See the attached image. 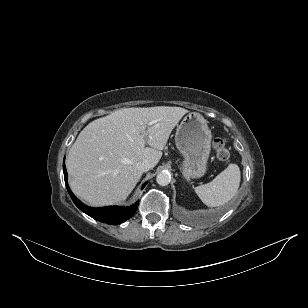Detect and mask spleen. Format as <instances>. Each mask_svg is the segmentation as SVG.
Instances as JSON below:
<instances>
[{"mask_svg":"<svg viewBox=\"0 0 308 308\" xmlns=\"http://www.w3.org/2000/svg\"><path fill=\"white\" fill-rule=\"evenodd\" d=\"M240 180L238 165L229 164L210 183L195 187V192L205 205L210 207L221 206L236 195Z\"/></svg>","mask_w":308,"mask_h":308,"instance_id":"1","label":"spleen"}]
</instances>
